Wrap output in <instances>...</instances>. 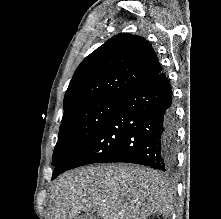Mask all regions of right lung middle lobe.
I'll return each instance as SVG.
<instances>
[{"label":"right lung middle lobe","mask_w":221,"mask_h":219,"mask_svg":"<svg viewBox=\"0 0 221 219\" xmlns=\"http://www.w3.org/2000/svg\"><path fill=\"white\" fill-rule=\"evenodd\" d=\"M120 98H101L77 104L63 114L52 165L82 147L104 124L120 103Z\"/></svg>","instance_id":"1"}]
</instances>
